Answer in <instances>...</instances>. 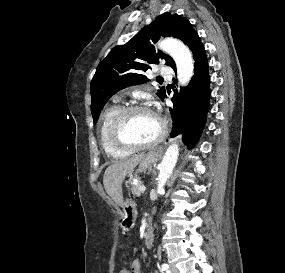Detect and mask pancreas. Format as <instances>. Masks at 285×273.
<instances>
[{
  "instance_id": "pancreas-1",
  "label": "pancreas",
  "mask_w": 285,
  "mask_h": 273,
  "mask_svg": "<svg viewBox=\"0 0 285 273\" xmlns=\"http://www.w3.org/2000/svg\"><path fill=\"white\" fill-rule=\"evenodd\" d=\"M137 180H140L139 178H137ZM140 186L141 184H137V185H132V192L135 196L139 197L142 193V191H140Z\"/></svg>"
}]
</instances>
